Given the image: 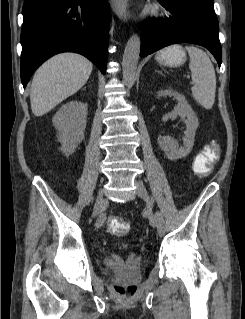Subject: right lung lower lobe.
<instances>
[{"label":"right lung lower lobe","instance_id":"1","mask_svg":"<svg viewBox=\"0 0 245 319\" xmlns=\"http://www.w3.org/2000/svg\"><path fill=\"white\" fill-rule=\"evenodd\" d=\"M21 31V81L60 52H76L106 71L108 0H25Z\"/></svg>","mask_w":245,"mask_h":319}]
</instances>
